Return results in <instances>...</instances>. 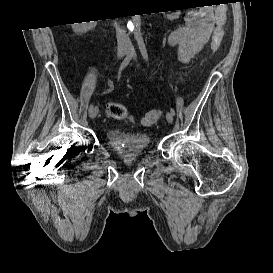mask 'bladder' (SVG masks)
Instances as JSON below:
<instances>
[{
    "label": "bladder",
    "instance_id": "bladder-1",
    "mask_svg": "<svg viewBox=\"0 0 273 273\" xmlns=\"http://www.w3.org/2000/svg\"><path fill=\"white\" fill-rule=\"evenodd\" d=\"M106 139L114 155L125 160L142 155L151 144L147 133L125 132L115 128L108 129Z\"/></svg>",
    "mask_w": 273,
    "mask_h": 273
}]
</instances>
